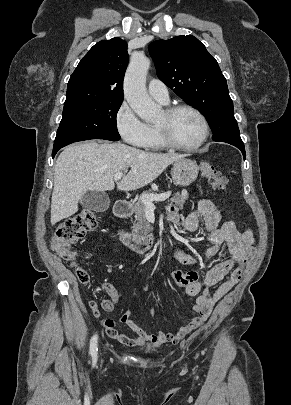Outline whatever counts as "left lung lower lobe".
I'll return each instance as SVG.
<instances>
[{
    "mask_svg": "<svg viewBox=\"0 0 291 405\" xmlns=\"http://www.w3.org/2000/svg\"><path fill=\"white\" fill-rule=\"evenodd\" d=\"M223 142L229 143V144H231V145H233V146L239 148V149L242 151L243 157H244V159H245L246 153H245L244 143L231 142V141H223Z\"/></svg>",
    "mask_w": 291,
    "mask_h": 405,
    "instance_id": "obj_1",
    "label": "left lung lower lobe"
}]
</instances>
